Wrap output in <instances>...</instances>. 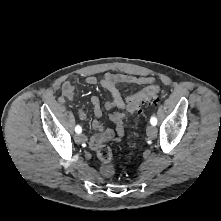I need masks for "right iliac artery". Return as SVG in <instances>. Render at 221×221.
Instances as JSON below:
<instances>
[{"label": "right iliac artery", "instance_id": "right-iliac-artery-1", "mask_svg": "<svg viewBox=\"0 0 221 221\" xmlns=\"http://www.w3.org/2000/svg\"><path fill=\"white\" fill-rule=\"evenodd\" d=\"M75 132L78 133V134H80V133L82 132V128H81L80 125H77V126L75 127Z\"/></svg>", "mask_w": 221, "mask_h": 221}]
</instances>
